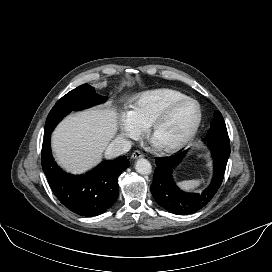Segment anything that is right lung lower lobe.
I'll use <instances>...</instances> for the list:
<instances>
[{
  "label": "right lung lower lobe",
  "mask_w": 272,
  "mask_h": 272,
  "mask_svg": "<svg viewBox=\"0 0 272 272\" xmlns=\"http://www.w3.org/2000/svg\"><path fill=\"white\" fill-rule=\"evenodd\" d=\"M50 137L51 133L44 137L41 162L53 193L78 215L92 217L105 212L118 197V176L130 165L127 157L104 161L85 175L66 174L52 157Z\"/></svg>",
  "instance_id": "1"
}]
</instances>
